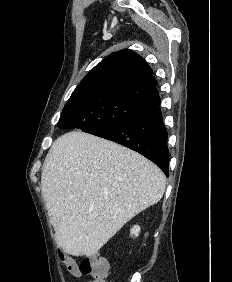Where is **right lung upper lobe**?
<instances>
[{"label": "right lung upper lobe", "mask_w": 232, "mask_h": 282, "mask_svg": "<svg viewBox=\"0 0 232 282\" xmlns=\"http://www.w3.org/2000/svg\"><path fill=\"white\" fill-rule=\"evenodd\" d=\"M152 69L138 54L130 50L114 52L96 65L73 91L70 98L112 89L134 90L147 94L156 107L160 98Z\"/></svg>", "instance_id": "cb5924a9"}]
</instances>
